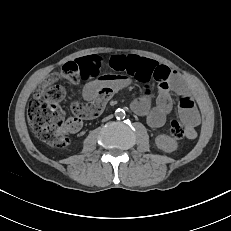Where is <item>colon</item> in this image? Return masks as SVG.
Segmentation results:
<instances>
[{"mask_svg":"<svg viewBox=\"0 0 231 231\" xmlns=\"http://www.w3.org/2000/svg\"><path fill=\"white\" fill-rule=\"evenodd\" d=\"M65 95L66 90L61 85H44L27 109L28 122L33 134L43 142L58 148L67 147L70 142L66 135L68 121L65 123L64 112L59 105ZM169 131L173 138L182 139L187 129L181 122L173 120Z\"/></svg>","mask_w":231,"mask_h":231,"instance_id":"obj_1","label":"colon"}]
</instances>
